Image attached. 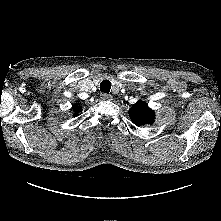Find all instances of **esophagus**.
I'll return each mask as SVG.
<instances>
[{"instance_id":"esophagus-1","label":"esophagus","mask_w":221,"mask_h":221,"mask_svg":"<svg viewBox=\"0 0 221 221\" xmlns=\"http://www.w3.org/2000/svg\"><path fill=\"white\" fill-rule=\"evenodd\" d=\"M101 98H102L103 100H112V95L103 93V94L101 95Z\"/></svg>"}]
</instances>
